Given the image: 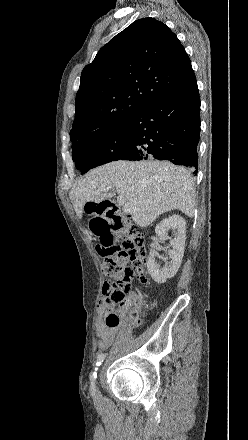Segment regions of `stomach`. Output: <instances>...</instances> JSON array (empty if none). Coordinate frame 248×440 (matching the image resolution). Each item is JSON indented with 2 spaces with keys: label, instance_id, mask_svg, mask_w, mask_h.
Returning a JSON list of instances; mask_svg holds the SVG:
<instances>
[{
  "label": "stomach",
  "instance_id": "1",
  "mask_svg": "<svg viewBox=\"0 0 248 440\" xmlns=\"http://www.w3.org/2000/svg\"><path fill=\"white\" fill-rule=\"evenodd\" d=\"M103 211V204H86L87 232H92V237H98L99 241H116L117 234L112 228L111 218H97L98 213Z\"/></svg>",
  "mask_w": 248,
  "mask_h": 440
}]
</instances>
